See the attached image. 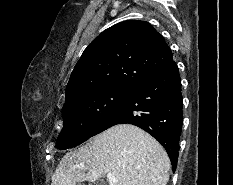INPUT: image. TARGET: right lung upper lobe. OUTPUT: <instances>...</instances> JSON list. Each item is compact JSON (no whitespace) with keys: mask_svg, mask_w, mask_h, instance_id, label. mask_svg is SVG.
<instances>
[{"mask_svg":"<svg viewBox=\"0 0 233 185\" xmlns=\"http://www.w3.org/2000/svg\"><path fill=\"white\" fill-rule=\"evenodd\" d=\"M164 38L145 21L118 23L84 50L66 87L65 104L101 89H132L144 78L171 64Z\"/></svg>","mask_w":233,"mask_h":185,"instance_id":"1","label":"right lung upper lobe"}]
</instances>
